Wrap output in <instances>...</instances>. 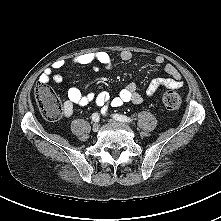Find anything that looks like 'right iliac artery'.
Masks as SVG:
<instances>
[{"label": "right iliac artery", "instance_id": "1", "mask_svg": "<svg viewBox=\"0 0 221 221\" xmlns=\"http://www.w3.org/2000/svg\"><path fill=\"white\" fill-rule=\"evenodd\" d=\"M100 116L98 113H93L92 114V120L95 122H99Z\"/></svg>", "mask_w": 221, "mask_h": 221}]
</instances>
